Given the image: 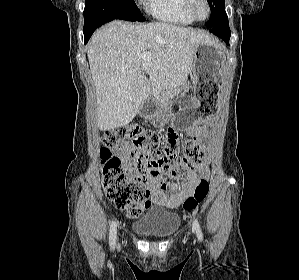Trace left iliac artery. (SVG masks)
Instances as JSON below:
<instances>
[{"label":"left iliac artery","instance_id":"obj_1","mask_svg":"<svg viewBox=\"0 0 299 280\" xmlns=\"http://www.w3.org/2000/svg\"><path fill=\"white\" fill-rule=\"evenodd\" d=\"M193 231L196 232L198 240L202 241L203 240V234H202V231H201V228H200V225H199V222H198L197 219H195L193 221Z\"/></svg>","mask_w":299,"mask_h":280}]
</instances>
